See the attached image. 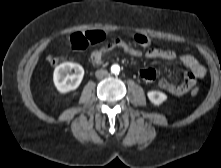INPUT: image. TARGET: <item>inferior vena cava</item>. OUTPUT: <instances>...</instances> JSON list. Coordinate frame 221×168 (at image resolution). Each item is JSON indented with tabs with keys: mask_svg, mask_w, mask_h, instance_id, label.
<instances>
[{
	"mask_svg": "<svg viewBox=\"0 0 221 168\" xmlns=\"http://www.w3.org/2000/svg\"><path fill=\"white\" fill-rule=\"evenodd\" d=\"M95 75L97 78L102 79V78L108 76V71L105 69H100V70L96 71Z\"/></svg>",
	"mask_w": 221,
	"mask_h": 168,
	"instance_id": "1",
	"label": "inferior vena cava"
}]
</instances>
